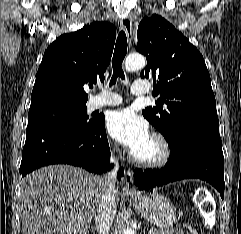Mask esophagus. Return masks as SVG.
Here are the masks:
<instances>
[{
  "label": "esophagus",
  "mask_w": 241,
  "mask_h": 234,
  "mask_svg": "<svg viewBox=\"0 0 241 234\" xmlns=\"http://www.w3.org/2000/svg\"><path fill=\"white\" fill-rule=\"evenodd\" d=\"M120 26L124 30L129 45L131 44L132 40V18L127 16L120 20ZM123 192L127 196H136L137 191L133 182V176L130 169L125 172L124 176V185H123Z\"/></svg>",
  "instance_id": "esophagus-1"
}]
</instances>
